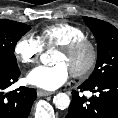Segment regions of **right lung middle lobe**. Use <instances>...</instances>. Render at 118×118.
<instances>
[{"label": "right lung middle lobe", "mask_w": 118, "mask_h": 118, "mask_svg": "<svg viewBox=\"0 0 118 118\" xmlns=\"http://www.w3.org/2000/svg\"><path fill=\"white\" fill-rule=\"evenodd\" d=\"M31 26L11 20L0 19V73L18 70L14 50L17 41Z\"/></svg>", "instance_id": "obj_1"}]
</instances>
